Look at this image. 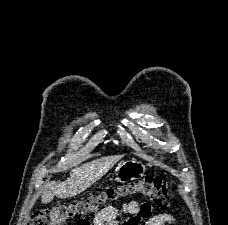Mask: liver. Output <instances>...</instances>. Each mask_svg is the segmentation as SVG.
Here are the masks:
<instances>
[{
  "mask_svg": "<svg viewBox=\"0 0 228 225\" xmlns=\"http://www.w3.org/2000/svg\"><path fill=\"white\" fill-rule=\"evenodd\" d=\"M124 155H114V157H102V159H96L81 167H75L70 171V179L63 181V183H49L48 187H45L42 191L41 197L42 203H51L54 197L58 199H68V197H75L80 195L83 191H86L88 187L94 185L96 181H99L101 177H104Z\"/></svg>",
  "mask_w": 228,
  "mask_h": 225,
  "instance_id": "1",
  "label": "liver"
}]
</instances>
